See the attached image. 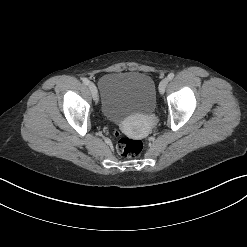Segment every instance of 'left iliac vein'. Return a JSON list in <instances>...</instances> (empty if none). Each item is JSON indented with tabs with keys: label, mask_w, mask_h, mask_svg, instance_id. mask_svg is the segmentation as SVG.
Masks as SVG:
<instances>
[{
	"label": "left iliac vein",
	"mask_w": 247,
	"mask_h": 247,
	"mask_svg": "<svg viewBox=\"0 0 247 247\" xmlns=\"http://www.w3.org/2000/svg\"><path fill=\"white\" fill-rule=\"evenodd\" d=\"M168 81H169L168 78H164V79L161 80V82L159 84V92L161 94L164 93V91H165V89L167 87Z\"/></svg>",
	"instance_id": "4c4485c4"
}]
</instances>
